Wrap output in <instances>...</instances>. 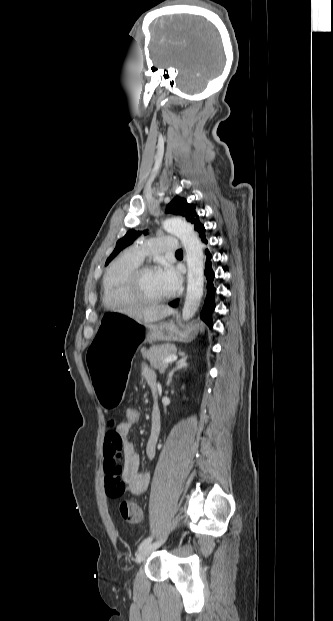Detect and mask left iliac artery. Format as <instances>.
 Returning a JSON list of instances; mask_svg holds the SVG:
<instances>
[{
  "instance_id": "44dca946",
  "label": "left iliac artery",
  "mask_w": 333,
  "mask_h": 621,
  "mask_svg": "<svg viewBox=\"0 0 333 621\" xmlns=\"http://www.w3.org/2000/svg\"><path fill=\"white\" fill-rule=\"evenodd\" d=\"M151 541H152V536H150V537H148V538L144 539V540L141 542V544L139 545L138 550H142L144 547H146L147 545H149Z\"/></svg>"
}]
</instances>
